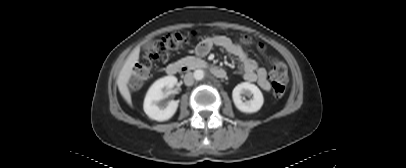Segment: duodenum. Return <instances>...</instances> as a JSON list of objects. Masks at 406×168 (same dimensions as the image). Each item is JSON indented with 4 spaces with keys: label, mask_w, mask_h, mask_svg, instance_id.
<instances>
[{
    "label": "duodenum",
    "mask_w": 406,
    "mask_h": 168,
    "mask_svg": "<svg viewBox=\"0 0 406 168\" xmlns=\"http://www.w3.org/2000/svg\"><path fill=\"white\" fill-rule=\"evenodd\" d=\"M198 67L210 69V71L213 73V75L219 79H224L227 75L226 71L224 69H222L219 66L212 65L209 63H205V62L199 63ZM180 71H187V67L182 66L179 63H171L166 67V73L170 76H174L177 73H179Z\"/></svg>",
    "instance_id": "1"
}]
</instances>
